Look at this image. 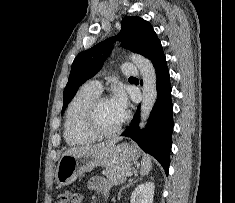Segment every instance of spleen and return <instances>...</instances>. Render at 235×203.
<instances>
[{"label":"spleen","instance_id":"obj_1","mask_svg":"<svg viewBox=\"0 0 235 203\" xmlns=\"http://www.w3.org/2000/svg\"><path fill=\"white\" fill-rule=\"evenodd\" d=\"M152 168V161L149 156H144L141 162V169H140V175L144 176L147 175Z\"/></svg>","mask_w":235,"mask_h":203}]
</instances>
